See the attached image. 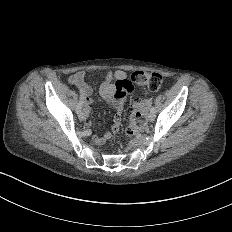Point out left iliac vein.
<instances>
[{"mask_svg": "<svg viewBox=\"0 0 232 232\" xmlns=\"http://www.w3.org/2000/svg\"><path fill=\"white\" fill-rule=\"evenodd\" d=\"M147 119L148 120H154L155 119V113L154 112H149L147 114Z\"/></svg>", "mask_w": 232, "mask_h": 232, "instance_id": "4c4485c4", "label": "left iliac vein"}]
</instances>
